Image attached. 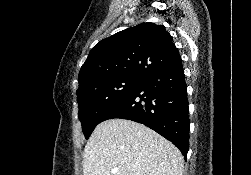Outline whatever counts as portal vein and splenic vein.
Returning a JSON list of instances; mask_svg holds the SVG:
<instances>
[{"mask_svg": "<svg viewBox=\"0 0 251 175\" xmlns=\"http://www.w3.org/2000/svg\"><path fill=\"white\" fill-rule=\"evenodd\" d=\"M118 169H111V173H117Z\"/></svg>", "mask_w": 251, "mask_h": 175, "instance_id": "portal-vein-and-splenic-vein-1", "label": "portal vein and splenic vein"}]
</instances>
